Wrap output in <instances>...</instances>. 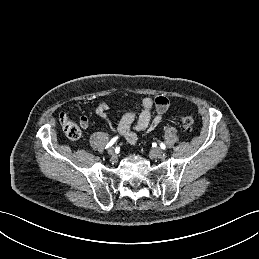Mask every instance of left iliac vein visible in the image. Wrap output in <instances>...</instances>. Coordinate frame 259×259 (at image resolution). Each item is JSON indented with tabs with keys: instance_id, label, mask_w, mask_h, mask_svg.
<instances>
[{
	"instance_id": "obj_1",
	"label": "left iliac vein",
	"mask_w": 259,
	"mask_h": 259,
	"mask_svg": "<svg viewBox=\"0 0 259 259\" xmlns=\"http://www.w3.org/2000/svg\"><path fill=\"white\" fill-rule=\"evenodd\" d=\"M151 153L153 154V155H161L162 153H163V150L160 148V147H156V148H154L152 151H151Z\"/></svg>"
}]
</instances>
